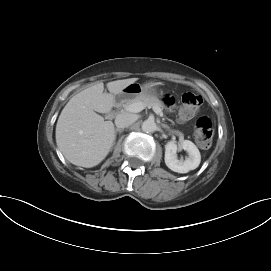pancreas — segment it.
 <instances>
[{
  "label": "pancreas",
  "mask_w": 271,
  "mask_h": 271,
  "mask_svg": "<svg viewBox=\"0 0 271 271\" xmlns=\"http://www.w3.org/2000/svg\"><path fill=\"white\" fill-rule=\"evenodd\" d=\"M137 102L143 103L146 107L157 106L161 110L163 108V104L158 98H156L154 96H148V95H145V94L139 95V96H137L135 98H132V99H127L123 106L127 107L128 105H130L132 103H137Z\"/></svg>",
  "instance_id": "pancreas-1"
}]
</instances>
